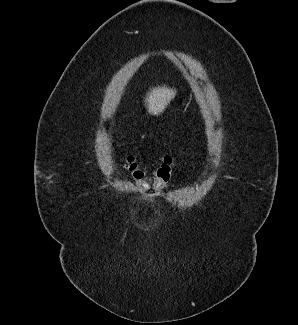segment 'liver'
I'll return each mask as SVG.
<instances>
[{"label": "liver", "instance_id": "liver-1", "mask_svg": "<svg viewBox=\"0 0 298 325\" xmlns=\"http://www.w3.org/2000/svg\"><path fill=\"white\" fill-rule=\"evenodd\" d=\"M177 88L175 86H168V84H157L152 86L144 98V104L148 110V114H155L159 116L166 110L171 100L175 98Z\"/></svg>", "mask_w": 298, "mask_h": 325}]
</instances>
